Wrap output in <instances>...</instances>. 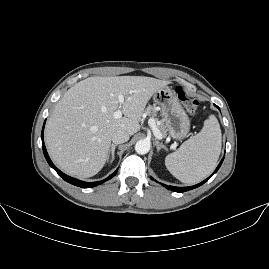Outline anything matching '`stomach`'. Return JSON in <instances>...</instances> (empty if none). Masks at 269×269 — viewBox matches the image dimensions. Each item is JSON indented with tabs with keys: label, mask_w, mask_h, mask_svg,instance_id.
I'll list each match as a JSON object with an SVG mask.
<instances>
[{
	"label": "stomach",
	"mask_w": 269,
	"mask_h": 269,
	"mask_svg": "<svg viewBox=\"0 0 269 269\" xmlns=\"http://www.w3.org/2000/svg\"><path fill=\"white\" fill-rule=\"evenodd\" d=\"M154 101L161 108L169 136L177 141L185 139L189 135L191 121L176 93L165 86L154 94Z\"/></svg>",
	"instance_id": "1"
}]
</instances>
